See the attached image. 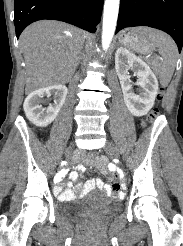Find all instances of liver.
Instances as JSON below:
<instances>
[{
  "instance_id": "1",
  "label": "liver",
  "mask_w": 183,
  "mask_h": 246,
  "mask_svg": "<svg viewBox=\"0 0 183 246\" xmlns=\"http://www.w3.org/2000/svg\"><path fill=\"white\" fill-rule=\"evenodd\" d=\"M85 38L82 29L58 21L28 26L20 36L27 74L25 92L69 82Z\"/></svg>"
}]
</instances>
